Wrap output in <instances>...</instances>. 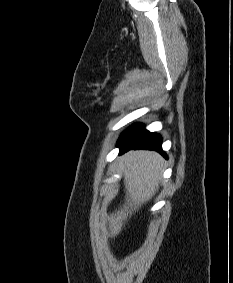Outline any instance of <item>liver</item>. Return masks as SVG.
<instances>
[{"label": "liver", "mask_w": 233, "mask_h": 283, "mask_svg": "<svg viewBox=\"0 0 233 283\" xmlns=\"http://www.w3.org/2000/svg\"><path fill=\"white\" fill-rule=\"evenodd\" d=\"M163 158L154 151H130L121 160L120 170L124 175L126 202L123 207L108 217L109 236H117L128 216L149 201L159 190L164 171Z\"/></svg>", "instance_id": "1"}]
</instances>
